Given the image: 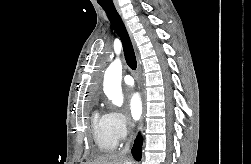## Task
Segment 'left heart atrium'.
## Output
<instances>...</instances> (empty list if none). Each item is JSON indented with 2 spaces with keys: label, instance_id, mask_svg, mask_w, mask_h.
I'll return each instance as SVG.
<instances>
[{
  "label": "left heart atrium",
  "instance_id": "obj_1",
  "mask_svg": "<svg viewBox=\"0 0 251 164\" xmlns=\"http://www.w3.org/2000/svg\"><path fill=\"white\" fill-rule=\"evenodd\" d=\"M128 110H129L130 116L134 120H137L140 118L142 114V101H141V97L139 93L132 92L128 96Z\"/></svg>",
  "mask_w": 251,
  "mask_h": 164
}]
</instances>
